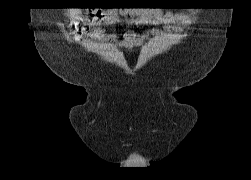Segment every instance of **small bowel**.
I'll return each instance as SVG.
<instances>
[{
  "label": "small bowel",
  "mask_w": 251,
  "mask_h": 180,
  "mask_svg": "<svg viewBox=\"0 0 251 180\" xmlns=\"http://www.w3.org/2000/svg\"><path fill=\"white\" fill-rule=\"evenodd\" d=\"M89 16L98 25H112L117 23H127L133 25H157L173 24L183 22L187 16L183 13H174L161 10H134L118 13L114 10H92ZM94 31L93 34H98ZM141 36L134 31H127L123 34L121 45L123 47H132L141 41Z\"/></svg>",
  "instance_id": "obj_1"
}]
</instances>
